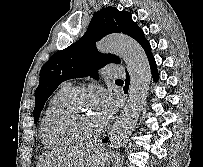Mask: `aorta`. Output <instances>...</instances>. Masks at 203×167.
I'll return each instance as SVG.
<instances>
[{"label": "aorta", "mask_w": 203, "mask_h": 167, "mask_svg": "<svg viewBox=\"0 0 203 167\" xmlns=\"http://www.w3.org/2000/svg\"><path fill=\"white\" fill-rule=\"evenodd\" d=\"M97 49L102 53L120 56L125 61L131 77L128 102L109 134L110 145L117 149L129 139L136 127L150 87V64L143 48L125 35L106 36L97 44Z\"/></svg>", "instance_id": "1"}]
</instances>
